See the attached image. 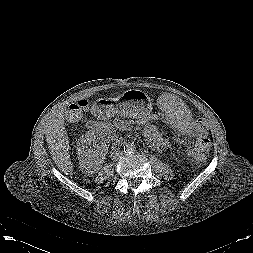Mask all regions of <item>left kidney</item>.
<instances>
[{
  "label": "left kidney",
  "instance_id": "obj_1",
  "mask_svg": "<svg viewBox=\"0 0 253 253\" xmlns=\"http://www.w3.org/2000/svg\"><path fill=\"white\" fill-rule=\"evenodd\" d=\"M143 133L146 140L152 143L155 148H159L161 145H165L166 143L164 138L162 137V134L154 125H147L144 128Z\"/></svg>",
  "mask_w": 253,
  "mask_h": 253
}]
</instances>
